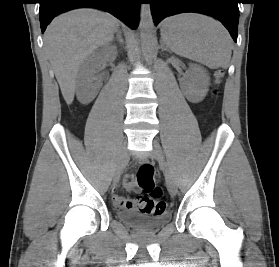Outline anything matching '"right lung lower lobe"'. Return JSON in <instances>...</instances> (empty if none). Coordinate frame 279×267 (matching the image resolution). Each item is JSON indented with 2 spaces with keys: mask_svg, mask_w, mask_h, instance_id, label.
I'll use <instances>...</instances> for the list:
<instances>
[{
  "mask_svg": "<svg viewBox=\"0 0 279 267\" xmlns=\"http://www.w3.org/2000/svg\"><path fill=\"white\" fill-rule=\"evenodd\" d=\"M40 24L44 32L58 14L79 7H94L110 12L132 29L139 23L141 0H40Z\"/></svg>",
  "mask_w": 279,
  "mask_h": 267,
  "instance_id": "98d812e1",
  "label": "right lung lower lobe"
}]
</instances>
